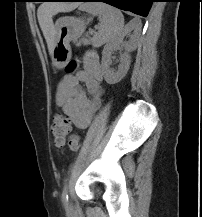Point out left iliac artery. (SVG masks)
Listing matches in <instances>:
<instances>
[{"mask_svg": "<svg viewBox=\"0 0 202 217\" xmlns=\"http://www.w3.org/2000/svg\"><path fill=\"white\" fill-rule=\"evenodd\" d=\"M68 184H66L63 188V192H62V202L63 204L66 206L67 202H68Z\"/></svg>", "mask_w": 202, "mask_h": 217, "instance_id": "44dca946", "label": "left iliac artery"}]
</instances>
